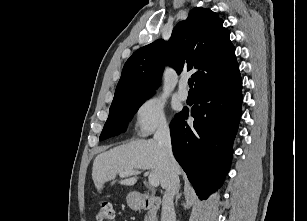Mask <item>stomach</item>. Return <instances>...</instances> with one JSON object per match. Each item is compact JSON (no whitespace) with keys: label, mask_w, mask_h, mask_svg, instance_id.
I'll use <instances>...</instances> for the list:
<instances>
[{"label":"stomach","mask_w":307,"mask_h":221,"mask_svg":"<svg viewBox=\"0 0 307 221\" xmlns=\"http://www.w3.org/2000/svg\"><path fill=\"white\" fill-rule=\"evenodd\" d=\"M128 203L131 207H134L136 204H134L133 202L130 201V199H128Z\"/></svg>","instance_id":"obj_1"}]
</instances>
